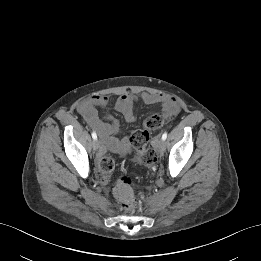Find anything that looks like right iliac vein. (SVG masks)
Segmentation results:
<instances>
[{
    "label": "right iliac vein",
    "instance_id": "right-iliac-vein-1",
    "mask_svg": "<svg viewBox=\"0 0 261 261\" xmlns=\"http://www.w3.org/2000/svg\"><path fill=\"white\" fill-rule=\"evenodd\" d=\"M92 147L95 151H97L100 147V142L96 139L92 142Z\"/></svg>",
    "mask_w": 261,
    "mask_h": 261
}]
</instances>
